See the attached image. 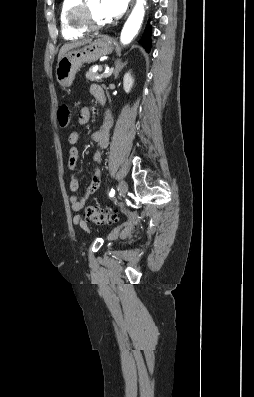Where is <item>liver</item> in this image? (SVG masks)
Returning <instances> with one entry per match:
<instances>
[{
	"mask_svg": "<svg viewBox=\"0 0 254 397\" xmlns=\"http://www.w3.org/2000/svg\"><path fill=\"white\" fill-rule=\"evenodd\" d=\"M92 41V39L90 38H85L79 41H75L72 43H67L65 45L62 46V48L59 51V55H58V61L71 49L73 48H77L80 47L82 45H85L87 43H90Z\"/></svg>",
	"mask_w": 254,
	"mask_h": 397,
	"instance_id": "obj_1",
	"label": "liver"
}]
</instances>
